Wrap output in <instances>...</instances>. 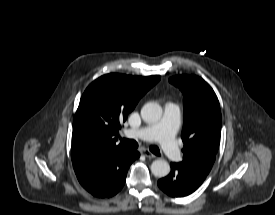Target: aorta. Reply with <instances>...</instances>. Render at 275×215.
<instances>
[{
    "label": "aorta",
    "mask_w": 275,
    "mask_h": 215,
    "mask_svg": "<svg viewBox=\"0 0 275 215\" xmlns=\"http://www.w3.org/2000/svg\"><path fill=\"white\" fill-rule=\"evenodd\" d=\"M141 116L147 123H156L162 117V108L155 102L146 103L141 109ZM151 172L156 177H165L170 172V165L166 160H155L151 164Z\"/></svg>",
    "instance_id": "1"
}]
</instances>
